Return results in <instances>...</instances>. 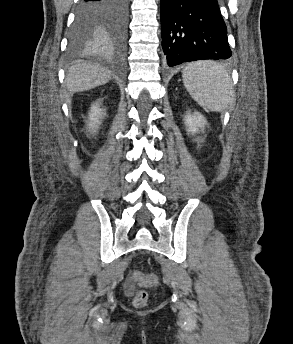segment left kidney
Listing matches in <instances>:
<instances>
[{"instance_id":"1","label":"left kidney","mask_w":293,"mask_h":344,"mask_svg":"<svg viewBox=\"0 0 293 344\" xmlns=\"http://www.w3.org/2000/svg\"><path fill=\"white\" fill-rule=\"evenodd\" d=\"M184 123L187 128V132L194 135L200 131L204 132V128H205V125L207 124V121L201 113L194 112L193 114L191 113L186 114Z\"/></svg>"}]
</instances>
